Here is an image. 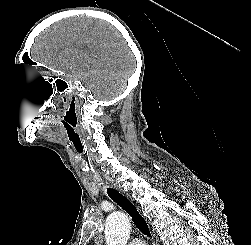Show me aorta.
I'll return each instance as SVG.
<instances>
[{"instance_id":"aorta-1","label":"aorta","mask_w":251,"mask_h":245,"mask_svg":"<svg viewBox=\"0 0 251 245\" xmlns=\"http://www.w3.org/2000/svg\"><path fill=\"white\" fill-rule=\"evenodd\" d=\"M131 230L129 218L121 213L110 214L106 221L105 238L107 245H126Z\"/></svg>"}]
</instances>
